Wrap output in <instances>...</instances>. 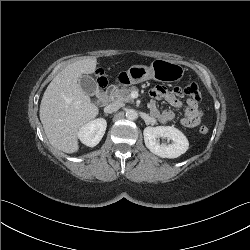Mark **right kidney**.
Instances as JSON below:
<instances>
[{
    "instance_id": "ca27d5eb",
    "label": "right kidney",
    "mask_w": 250,
    "mask_h": 250,
    "mask_svg": "<svg viewBox=\"0 0 250 250\" xmlns=\"http://www.w3.org/2000/svg\"><path fill=\"white\" fill-rule=\"evenodd\" d=\"M106 127L107 122L103 118L91 120L79 129L78 138L86 146L94 147L101 141Z\"/></svg>"
}]
</instances>
